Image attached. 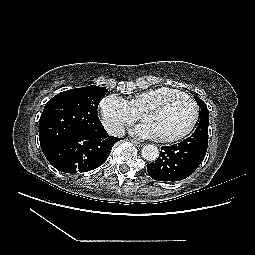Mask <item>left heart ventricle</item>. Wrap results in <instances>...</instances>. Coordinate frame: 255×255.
Returning a JSON list of instances; mask_svg holds the SVG:
<instances>
[{
    "mask_svg": "<svg viewBox=\"0 0 255 255\" xmlns=\"http://www.w3.org/2000/svg\"><path fill=\"white\" fill-rule=\"evenodd\" d=\"M192 117V106L182 98H173L158 108L145 112L143 121L154 128L156 137H162L183 131Z\"/></svg>",
    "mask_w": 255,
    "mask_h": 255,
    "instance_id": "1",
    "label": "left heart ventricle"
}]
</instances>
